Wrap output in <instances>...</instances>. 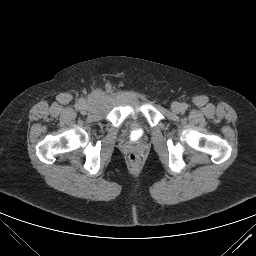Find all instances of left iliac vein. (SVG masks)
<instances>
[{
  "instance_id": "1",
  "label": "left iliac vein",
  "mask_w": 256,
  "mask_h": 256,
  "mask_svg": "<svg viewBox=\"0 0 256 256\" xmlns=\"http://www.w3.org/2000/svg\"><path fill=\"white\" fill-rule=\"evenodd\" d=\"M171 110L174 112V113H180L182 108H181V105L178 103V102H173L171 104Z\"/></svg>"
}]
</instances>
